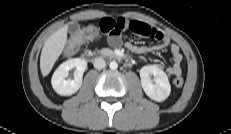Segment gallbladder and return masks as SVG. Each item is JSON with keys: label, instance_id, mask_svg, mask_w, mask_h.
I'll list each match as a JSON object with an SVG mask.
<instances>
[{"label": "gallbladder", "instance_id": "gallbladder-1", "mask_svg": "<svg viewBox=\"0 0 231 134\" xmlns=\"http://www.w3.org/2000/svg\"><path fill=\"white\" fill-rule=\"evenodd\" d=\"M80 28L79 24L78 23H71L69 25V31L71 33H76L78 31V29Z\"/></svg>", "mask_w": 231, "mask_h": 134}]
</instances>
